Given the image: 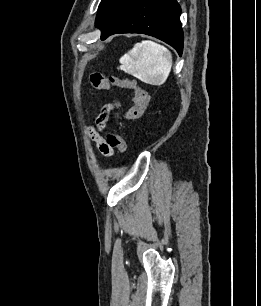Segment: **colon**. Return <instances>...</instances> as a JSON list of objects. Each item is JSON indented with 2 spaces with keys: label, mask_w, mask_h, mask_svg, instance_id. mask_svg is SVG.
Listing matches in <instances>:
<instances>
[{
  "label": "colon",
  "mask_w": 261,
  "mask_h": 306,
  "mask_svg": "<svg viewBox=\"0 0 261 306\" xmlns=\"http://www.w3.org/2000/svg\"><path fill=\"white\" fill-rule=\"evenodd\" d=\"M90 83L94 89L99 91L109 90L113 86L133 90L134 105L124 113L116 112L115 117L118 120L139 119L149 107V93L145 89L138 86L134 79H118L113 76H106L104 74L95 72L90 75ZM106 142L111 148L117 149L122 153H125L128 149L126 141L118 132L109 133L107 135Z\"/></svg>",
  "instance_id": "colon-1"
}]
</instances>
